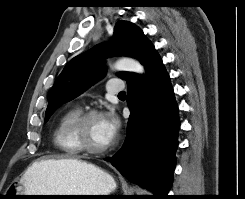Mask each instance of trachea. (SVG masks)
<instances>
[{
    "instance_id": "1",
    "label": "trachea",
    "mask_w": 245,
    "mask_h": 199,
    "mask_svg": "<svg viewBox=\"0 0 245 199\" xmlns=\"http://www.w3.org/2000/svg\"><path fill=\"white\" fill-rule=\"evenodd\" d=\"M118 96H126V93H125V92H120V93L118 94Z\"/></svg>"
}]
</instances>
